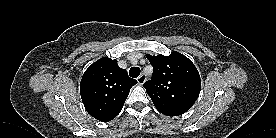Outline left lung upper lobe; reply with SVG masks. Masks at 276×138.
I'll use <instances>...</instances> for the list:
<instances>
[{
    "instance_id": "left-lung-upper-lobe-1",
    "label": "left lung upper lobe",
    "mask_w": 276,
    "mask_h": 138,
    "mask_svg": "<svg viewBox=\"0 0 276 138\" xmlns=\"http://www.w3.org/2000/svg\"><path fill=\"white\" fill-rule=\"evenodd\" d=\"M146 57L154 73L143 86L158 111L167 116H178L188 111L197 100L201 88L195 65L175 51L169 56L147 54Z\"/></svg>"
}]
</instances>
